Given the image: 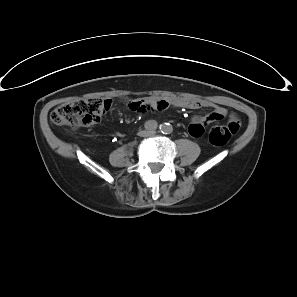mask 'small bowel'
I'll return each mask as SVG.
<instances>
[{
	"mask_svg": "<svg viewBox=\"0 0 297 297\" xmlns=\"http://www.w3.org/2000/svg\"><path fill=\"white\" fill-rule=\"evenodd\" d=\"M127 106L134 111L144 112L150 109L153 110H164L169 106L186 108V109H200L213 107L214 112L205 116H194L189 126V134L193 137H200L204 133V129L207 125L214 121H219L228 115V110L221 106H216L209 101L188 99V98H177L171 100H154V99H141L134 100L127 103ZM231 119L235 115H230Z\"/></svg>",
	"mask_w": 297,
	"mask_h": 297,
	"instance_id": "c3829d8e",
	"label": "small bowel"
}]
</instances>
